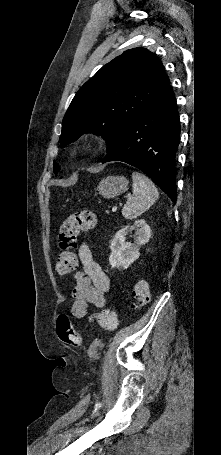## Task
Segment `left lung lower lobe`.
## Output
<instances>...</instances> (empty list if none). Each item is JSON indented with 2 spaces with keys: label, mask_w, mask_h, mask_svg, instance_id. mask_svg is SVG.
Masks as SVG:
<instances>
[{
  "label": "left lung lower lobe",
  "mask_w": 221,
  "mask_h": 455,
  "mask_svg": "<svg viewBox=\"0 0 221 455\" xmlns=\"http://www.w3.org/2000/svg\"><path fill=\"white\" fill-rule=\"evenodd\" d=\"M179 139L176 99L168 84L163 93L127 126L102 162L123 161L140 169L175 203V155Z\"/></svg>",
  "instance_id": "obj_1"
}]
</instances>
